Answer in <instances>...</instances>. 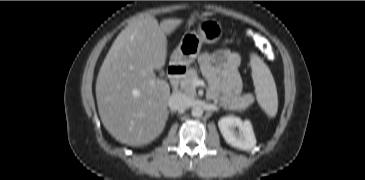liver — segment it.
I'll return each instance as SVG.
<instances>
[{
	"label": "liver",
	"instance_id": "1",
	"mask_svg": "<svg viewBox=\"0 0 365 180\" xmlns=\"http://www.w3.org/2000/svg\"><path fill=\"white\" fill-rule=\"evenodd\" d=\"M181 20L160 23L152 17L133 19L120 32L100 68L96 99L100 119L119 142L151 143L168 119L170 87L156 78L167 57V35Z\"/></svg>",
	"mask_w": 365,
	"mask_h": 180
}]
</instances>
